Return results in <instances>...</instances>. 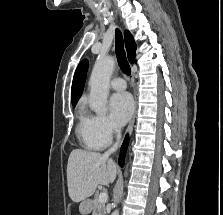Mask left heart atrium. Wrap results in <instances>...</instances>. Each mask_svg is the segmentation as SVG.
<instances>
[{"label":"left heart atrium","mask_w":223,"mask_h":215,"mask_svg":"<svg viewBox=\"0 0 223 215\" xmlns=\"http://www.w3.org/2000/svg\"><path fill=\"white\" fill-rule=\"evenodd\" d=\"M112 119L117 125L127 122L133 112V100L129 93L120 92L112 95L109 100Z\"/></svg>","instance_id":"left-heart-atrium-1"}]
</instances>
